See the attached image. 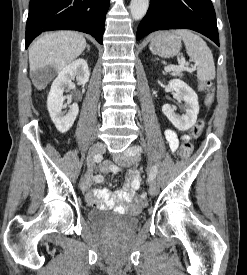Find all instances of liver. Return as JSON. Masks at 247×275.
I'll use <instances>...</instances> for the list:
<instances>
[{
  "label": "liver",
  "mask_w": 247,
  "mask_h": 275,
  "mask_svg": "<svg viewBox=\"0 0 247 275\" xmlns=\"http://www.w3.org/2000/svg\"><path fill=\"white\" fill-rule=\"evenodd\" d=\"M86 48L85 38L73 31L46 33L35 40L29 48L30 76L38 69L50 66L61 71L79 57ZM41 89L45 85L36 84Z\"/></svg>",
  "instance_id": "liver-1"
}]
</instances>
